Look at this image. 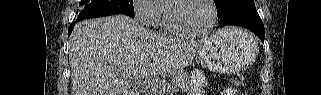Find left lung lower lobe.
I'll use <instances>...</instances> for the list:
<instances>
[{"label":"left lung lower lobe","mask_w":321,"mask_h":95,"mask_svg":"<svg viewBox=\"0 0 321 95\" xmlns=\"http://www.w3.org/2000/svg\"><path fill=\"white\" fill-rule=\"evenodd\" d=\"M220 26L236 25L254 32L264 42V25L252 0H238L220 16Z\"/></svg>","instance_id":"0a47b994"}]
</instances>
